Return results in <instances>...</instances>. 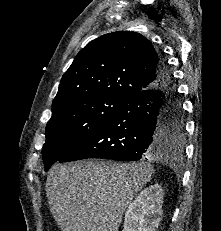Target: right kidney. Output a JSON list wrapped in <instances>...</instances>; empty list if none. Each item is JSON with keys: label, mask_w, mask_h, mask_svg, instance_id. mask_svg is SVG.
<instances>
[{"label": "right kidney", "mask_w": 221, "mask_h": 231, "mask_svg": "<svg viewBox=\"0 0 221 231\" xmlns=\"http://www.w3.org/2000/svg\"><path fill=\"white\" fill-rule=\"evenodd\" d=\"M163 195L158 184L142 190L128 206L123 231H156L162 217Z\"/></svg>", "instance_id": "right-kidney-1"}]
</instances>
